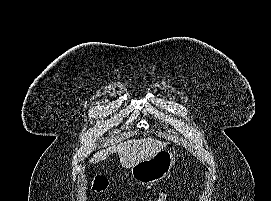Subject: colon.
Here are the masks:
<instances>
[{
  "instance_id": "5ec220e1",
  "label": "colon",
  "mask_w": 271,
  "mask_h": 201,
  "mask_svg": "<svg viewBox=\"0 0 271 201\" xmlns=\"http://www.w3.org/2000/svg\"><path fill=\"white\" fill-rule=\"evenodd\" d=\"M107 188V182L105 179H96L94 184H93V189L96 191V192H102L104 191L105 189ZM167 199V195H166V192H162L160 193V195L157 197V200L156 201H166Z\"/></svg>"
}]
</instances>
